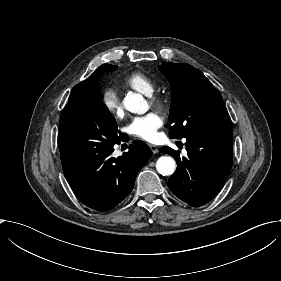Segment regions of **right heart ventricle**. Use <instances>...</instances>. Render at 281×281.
<instances>
[{
	"mask_svg": "<svg viewBox=\"0 0 281 281\" xmlns=\"http://www.w3.org/2000/svg\"><path fill=\"white\" fill-rule=\"evenodd\" d=\"M121 87L126 90H134L146 96H152L155 90L152 80L140 71H134L123 78Z\"/></svg>",
	"mask_w": 281,
	"mask_h": 281,
	"instance_id": "right-heart-ventricle-1",
	"label": "right heart ventricle"
}]
</instances>
